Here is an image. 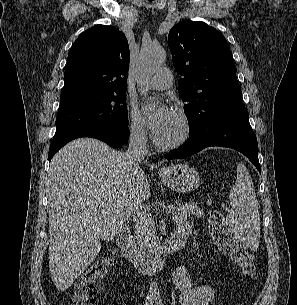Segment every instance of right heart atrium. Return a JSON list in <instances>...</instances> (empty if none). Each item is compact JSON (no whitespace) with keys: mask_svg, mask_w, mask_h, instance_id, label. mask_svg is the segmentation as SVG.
<instances>
[{"mask_svg":"<svg viewBox=\"0 0 297 305\" xmlns=\"http://www.w3.org/2000/svg\"><path fill=\"white\" fill-rule=\"evenodd\" d=\"M127 132L130 140L137 145H142L147 140L144 123L135 109H130L128 112Z\"/></svg>","mask_w":297,"mask_h":305,"instance_id":"right-heart-atrium-1","label":"right heart atrium"}]
</instances>
